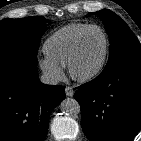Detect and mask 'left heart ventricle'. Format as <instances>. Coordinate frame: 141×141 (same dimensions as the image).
<instances>
[{"mask_svg":"<svg viewBox=\"0 0 141 141\" xmlns=\"http://www.w3.org/2000/svg\"><path fill=\"white\" fill-rule=\"evenodd\" d=\"M105 40L99 30L89 31L82 43L79 58L75 64L78 74H86L94 70L100 63L104 52Z\"/></svg>","mask_w":141,"mask_h":141,"instance_id":"left-heart-ventricle-1","label":"left heart ventricle"}]
</instances>
